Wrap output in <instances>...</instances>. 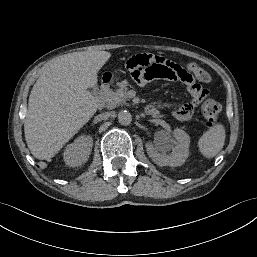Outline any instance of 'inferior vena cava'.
Wrapping results in <instances>:
<instances>
[{
  "label": "inferior vena cava",
  "instance_id": "inferior-vena-cava-1",
  "mask_svg": "<svg viewBox=\"0 0 257 257\" xmlns=\"http://www.w3.org/2000/svg\"><path fill=\"white\" fill-rule=\"evenodd\" d=\"M111 116L110 112H104L102 114H99L96 118L98 120H107Z\"/></svg>",
  "mask_w": 257,
  "mask_h": 257
}]
</instances>
